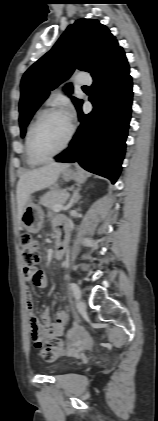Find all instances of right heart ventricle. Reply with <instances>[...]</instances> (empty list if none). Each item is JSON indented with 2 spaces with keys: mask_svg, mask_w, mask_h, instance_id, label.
I'll list each match as a JSON object with an SVG mask.
<instances>
[{
  "mask_svg": "<svg viewBox=\"0 0 158 421\" xmlns=\"http://www.w3.org/2000/svg\"><path fill=\"white\" fill-rule=\"evenodd\" d=\"M42 112H43V110H42V109H38V110L34 113V115H33L32 119H31V121H30V123H29V125H28V128H27V133H26V139H25V155H26V162H27V164H28L29 166H32V167L39 165V164H40V162H38V161L34 160V159L32 158V156H31V154H30L29 147H28L29 133H30V130H31L32 125L34 124V122L36 121V119L39 117V115H40Z\"/></svg>",
  "mask_w": 158,
  "mask_h": 421,
  "instance_id": "obj_1",
  "label": "right heart ventricle"
}]
</instances>
